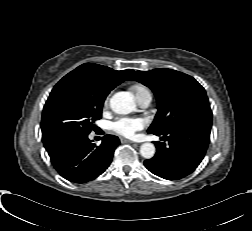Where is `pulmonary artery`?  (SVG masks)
<instances>
[{"instance_id": "obj_1", "label": "pulmonary artery", "mask_w": 252, "mask_h": 231, "mask_svg": "<svg viewBox=\"0 0 252 231\" xmlns=\"http://www.w3.org/2000/svg\"><path fill=\"white\" fill-rule=\"evenodd\" d=\"M151 99H152L151 94L147 93L137 98V101L141 107H147L150 104Z\"/></svg>"}]
</instances>
